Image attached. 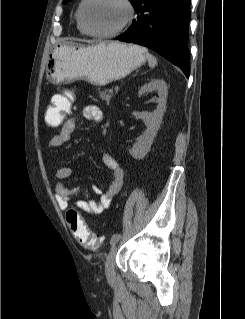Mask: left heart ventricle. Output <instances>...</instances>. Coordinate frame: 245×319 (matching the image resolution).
<instances>
[{
	"label": "left heart ventricle",
	"mask_w": 245,
	"mask_h": 319,
	"mask_svg": "<svg viewBox=\"0 0 245 319\" xmlns=\"http://www.w3.org/2000/svg\"><path fill=\"white\" fill-rule=\"evenodd\" d=\"M126 17L125 7L117 0H92L86 9L88 27L98 33L117 29Z\"/></svg>",
	"instance_id": "obj_1"
}]
</instances>
